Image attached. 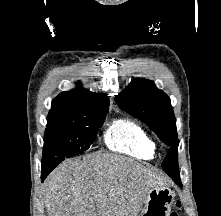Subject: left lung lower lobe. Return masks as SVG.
<instances>
[{"mask_svg":"<svg viewBox=\"0 0 221 216\" xmlns=\"http://www.w3.org/2000/svg\"><path fill=\"white\" fill-rule=\"evenodd\" d=\"M174 181H175L179 186H181L180 178H178V179H174Z\"/></svg>","mask_w":221,"mask_h":216,"instance_id":"obj_1","label":"left lung lower lobe"}]
</instances>
